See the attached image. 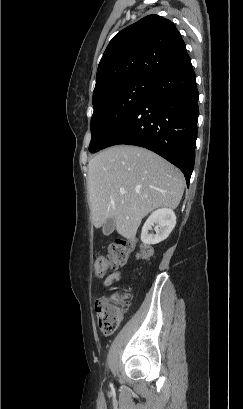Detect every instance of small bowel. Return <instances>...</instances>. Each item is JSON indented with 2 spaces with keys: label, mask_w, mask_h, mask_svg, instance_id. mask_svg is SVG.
<instances>
[{
  "label": "small bowel",
  "mask_w": 243,
  "mask_h": 409,
  "mask_svg": "<svg viewBox=\"0 0 243 409\" xmlns=\"http://www.w3.org/2000/svg\"><path fill=\"white\" fill-rule=\"evenodd\" d=\"M122 277V272L121 271H114L110 275H108L104 281V286L105 287H110L114 285L115 283L119 282Z\"/></svg>",
  "instance_id": "obj_1"
}]
</instances>
